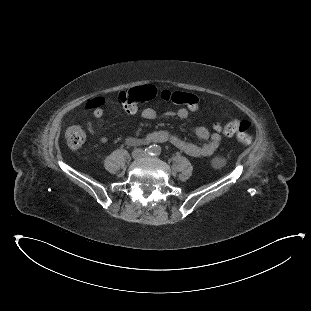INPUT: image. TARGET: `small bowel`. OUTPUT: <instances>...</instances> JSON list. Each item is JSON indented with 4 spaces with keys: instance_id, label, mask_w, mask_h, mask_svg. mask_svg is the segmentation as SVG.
I'll list each match as a JSON object with an SVG mask.
<instances>
[{
    "instance_id": "small-bowel-1",
    "label": "small bowel",
    "mask_w": 311,
    "mask_h": 311,
    "mask_svg": "<svg viewBox=\"0 0 311 311\" xmlns=\"http://www.w3.org/2000/svg\"><path fill=\"white\" fill-rule=\"evenodd\" d=\"M140 115L144 120H153L156 118L157 112L153 108L147 107L141 111ZM171 115H175L180 119H187L189 116V112L185 108H180L177 111L171 113ZM94 116L99 121V126H102L104 118L103 110L97 109L94 112ZM86 128L90 135H95V130L92 122L88 121L86 124ZM195 134L200 140L205 141V143L202 145H198L192 142H188L167 131L152 132L141 139L148 141V143L169 142L181 151L193 157H208L212 155L220 145L221 136L218 132L210 133V131L206 127L197 126L195 129ZM100 141L102 143H106L107 138L105 136H101Z\"/></svg>"
}]
</instances>
